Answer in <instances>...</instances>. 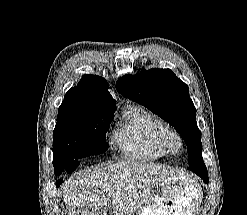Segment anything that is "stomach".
<instances>
[{"mask_svg":"<svg viewBox=\"0 0 247 215\" xmlns=\"http://www.w3.org/2000/svg\"><path fill=\"white\" fill-rule=\"evenodd\" d=\"M202 197L196 180L185 175L172 176L158 185L136 215H197Z\"/></svg>","mask_w":247,"mask_h":215,"instance_id":"stomach-1","label":"stomach"}]
</instances>
